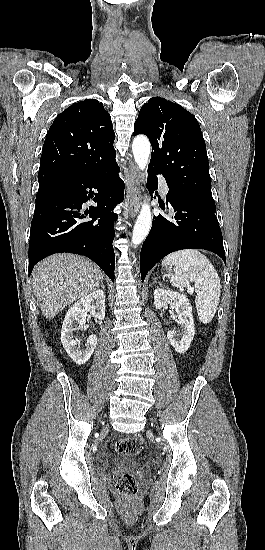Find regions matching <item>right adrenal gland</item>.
Listing matches in <instances>:
<instances>
[{
	"label": "right adrenal gland",
	"mask_w": 265,
	"mask_h": 550,
	"mask_svg": "<svg viewBox=\"0 0 265 550\" xmlns=\"http://www.w3.org/2000/svg\"><path fill=\"white\" fill-rule=\"evenodd\" d=\"M100 286H101L103 289L105 288L104 285H103V283H101Z\"/></svg>",
	"instance_id": "2a0ac1e0"
}]
</instances>
